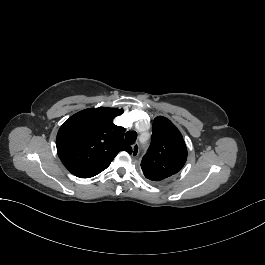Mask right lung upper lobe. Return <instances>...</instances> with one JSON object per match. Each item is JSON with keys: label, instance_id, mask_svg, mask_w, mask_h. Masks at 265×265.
Wrapping results in <instances>:
<instances>
[{"label": "right lung upper lobe", "instance_id": "cb5924a9", "mask_svg": "<svg viewBox=\"0 0 265 265\" xmlns=\"http://www.w3.org/2000/svg\"><path fill=\"white\" fill-rule=\"evenodd\" d=\"M123 109L99 107L71 116L59 129L56 147L64 166L75 176L93 177L105 170L119 151L132 153L125 129L113 124Z\"/></svg>", "mask_w": 265, "mask_h": 265}]
</instances>
